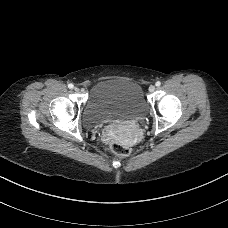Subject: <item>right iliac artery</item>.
<instances>
[{
    "label": "right iliac artery",
    "mask_w": 228,
    "mask_h": 228,
    "mask_svg": "<svg viewBox=\"0 0 228 228\" xmlns=\"http://www.w3.org/2000/svg\"><path fill=\"white\" fill-rule=\"evenodd\" d=\"M74 85L72 83L68 84V88L72 89Z\"/></svg>",
    "instance_id": "82829eb1"
}]
</instances>
